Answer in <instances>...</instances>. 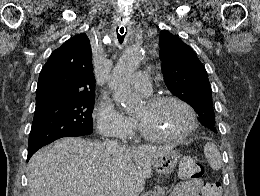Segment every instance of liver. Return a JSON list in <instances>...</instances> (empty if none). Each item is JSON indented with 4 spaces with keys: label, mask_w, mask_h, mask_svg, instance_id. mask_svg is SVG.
I'll use <instances>...</instances> for the list:
<instances>
[{
    "label": "liver",
    "mask_w": 260,
    "mask_h": 196,
    "mask_svg": "<svg viewBox=\"0 0 260 196\" xmlns=\"http://www.w3.org/2000/svg\"><path fill=\"white\" fill-rule=\"evenodd\" d=\"M175 146H131L60 138L29 160V196H139L152 166Z\"/></svg>",
    "instance_id": "1"
}]
</instances>
